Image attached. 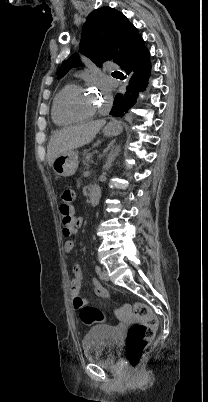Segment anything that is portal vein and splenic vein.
<instances>
[{"mask_svg": "<svg viewBox=\"0 0 208 402\" xmlns=\"http://www.w3.org/2000/svg\"><path fill=\"white\" fill-rule=\"evenodd\" d=\"M105 154H108V151H105ZM93 157H95V154H93V153H89L87 156H86V161H85V164L86 165H92L93 163H95V158H93ZM90 159H92V160H90Z\"/></svg>", "mask_w": 208, "mask_h": 402, "instance_id": "portal-vein-and-splenic-vein-1", "label": "portal vein and splenic vein"}]
</instances>
